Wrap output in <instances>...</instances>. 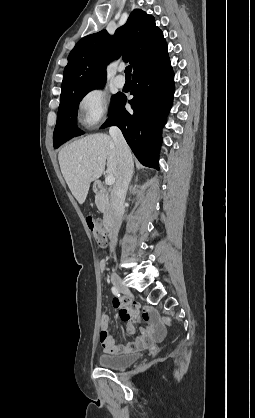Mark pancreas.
I'll return each instance as SVG.
<instances>
[{"label":"pancreas","mask_w":255,"mask_h":418,"mask_svg":"<svg viewBox=\"0 0 255 418\" xmlns=\"http://www.w3.org/2000/svg\"><path fill=\"white\" fill-rule=\"evenodd\" d=\"M95 203L98 208V210L106 214L109 208L108 198L103 194H97L95 197Z\"/></svg>","instance_id":"pancreas-1"}]
</instances>
